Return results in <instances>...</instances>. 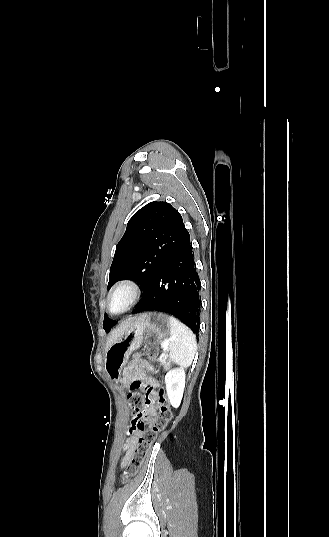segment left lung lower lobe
<instances>
[{"instance_id":"left-lung-lower-lobe-1","label":"left lung lower lobe","mask_w":329,"mask_h":537,"mask_svg":"<svg viewBox=\"0 0 329 537\" xmlns=\"http://www.w3.org/2000/svg\"><path fill=\"white\" fill-rule=\"evenodd\" d=\"M201 283L190 236L165 260L132 313L166 312L179 318L199 336Z\"/></svg>"}]
</instances>
